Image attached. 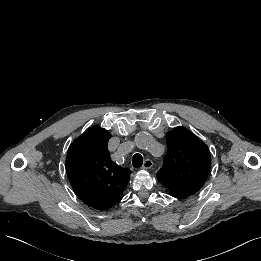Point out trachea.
Returning <instances> with one entry per match:
<instances>
[{"label":"trachea","instance_id":"trachea-1","mask_svg":"<svg viewBox=\"0 0 261 261\" xmlns=\"http://www.w3.org/2000/svg\"><path fill=\"white\" fill-rule=\"evenodd\" d=\"M143 164V157L141 156V154H135L132 157V165L134 168H140Z\"/></svg>","mask_w":261,"mask_h":261}]
</instances>
